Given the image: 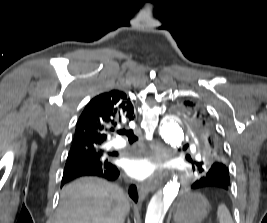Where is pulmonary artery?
I'll return each mask as SVG.
<instances>
[{
  "mask_svg": "<svg viewBox=\"0 0 267 223\" xmlns=\"http://www.w3.org/2000/svg\"><path fill=\"white\" fill-rule=\"evenodd\" d=\"M125 146H126V142L123 139L115 140L113 142L114 148L121 149V148H124Z\"/></svg>",
  "mask_w": 267,
  "mask_h": 223,
  "instance_id": "1",
  "label": "pulmonary artery"
}]
</instances>
